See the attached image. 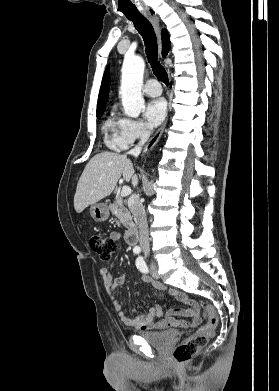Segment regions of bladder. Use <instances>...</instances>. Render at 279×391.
I'll return each mask as SVG.
<instances>
[{"mask_svg": "<svg viewBox=\"0 0 279 391\" xmlns=\"http://www.w3.org/2000/svg\"><path fill=\"white\" fill-rule=\"evenodd\" d=\"M180 333L176 330H163V331H148L141 332L142 337L147 343L153 347L164 349L175 342Z\"/></svg>", "mask_w": 279, "mask_h": 391, "instance_id": "1", "label": "bladder"}]
</instances>
